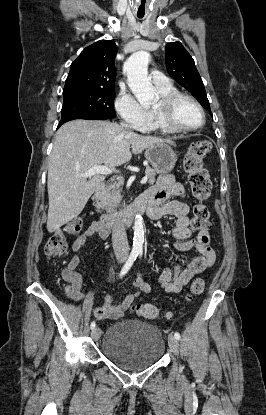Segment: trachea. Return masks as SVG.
<instances>
[{
  "instance_id": "1",
  "label": "trachea",
  "mask_w": 266,
  "mask_h": 415,
  "mask_svg": "<svg viewBox=\"0 0 266 415\" xmlns=\"http://www.w3.org/2000/svg\"><path fill=\"white\" fill-rule=\"evenodd\" d=\"M139 18H142L143 16H138Z\"/></svg>"
}]
</instances>
